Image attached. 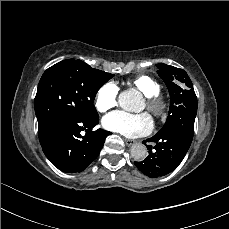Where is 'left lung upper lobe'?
Segmentation results:
<instances>
[{
  "mask_svg": "<svg viewBox=\"0 0 229 229\" xmlns=\"http://www.w3.org/2000/svg\"><path fill=\"white\" fill-rule=\"evenodd\" d=\"M156 66L170 94L169 115L159 132L182 133L192 139L197 113V97L192 82L183 69L162 63Z\"/></svg>",
  "mask_w": 229,
  "mask_h": 229,
  "instance_id": "obj_1",
  "label": "left lung upper lobe"
}]
</instances>
